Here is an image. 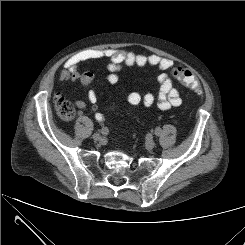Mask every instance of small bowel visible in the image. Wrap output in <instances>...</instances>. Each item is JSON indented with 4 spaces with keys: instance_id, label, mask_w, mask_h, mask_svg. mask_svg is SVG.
<instances>
[{
    "instance_id": "small-bowel-1",
    "label": "small bowel",
    "mask_w": 245,
    "mask_h": 245,
    "mask_svg": "<svg viewBox=\"0 0 245 245\" xmlns=\"http://www.w3.org/2000/svg\"><path fill=\"white\" fill-rule=\"evenodd\" d=\"M97 59L108 60L107 80L112 85L119 82V72L125 67L143 68L151 66L158 68L160 71H166L174 64L173 60L155 54H135L130 51L119 49L85 50L73 55L65 62L64 69L59 74V80L62 82L78 81L83 87H88L94 80V74L90 71L80 72L78 66L83 62ZM156 81L159 86L157 97L151 92L142 94L138 91H132L127 97L129 105L133 107L142 105L146 108H150L156 104L161 110H169L180 106L182 99L170 76L167 73L162 72L157 76ZM87 97L92 110H96V92L94 90H89ZM76 106L79 109L84 110L86 108V103L79 100L76 102ZM95 118L98 122L105 121V116L101 113H96Z\"/></svg>"
}]
</instances>
